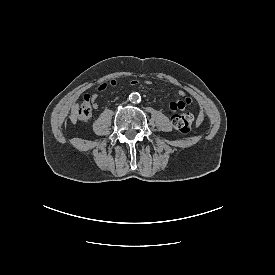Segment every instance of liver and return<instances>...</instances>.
<instances>
[{"label":"liver","instance_id":"6515ba94","mask_svg":"<svg viewBox=\"0 0 275 275\" xmlns=\"http://www.w3.org/2000/svg\"><path fill=\"white\" fill-rule=\"evenodd\" d=\"M71 121H72L73 124H75V123H76V118H75V117H72V118H71Z\"/></svg>","mask_w":275,"mask_h":275}]
</instances>
